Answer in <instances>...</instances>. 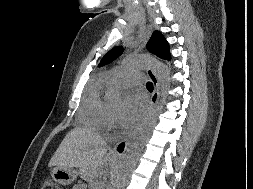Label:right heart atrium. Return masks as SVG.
I'll return each mask as SVG.
<instances>
[{
  "instance_id": "1",
  "label": "right heart atrium",
  "mask_w": 253,
  "mask_h": 189,
  "mask_svg": "<svg viewBox=\"0 0 253 189\" xmlns=\"http://www.w3.org/2000/svg\"><path fill=\"white\" fill-rule=\"evenodd\" d=\"M111 120L113 121V120H114V117H111Z\"/></svg>"
}]
</instances>
